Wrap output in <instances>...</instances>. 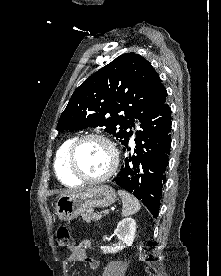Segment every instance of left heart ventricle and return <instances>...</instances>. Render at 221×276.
<instances>
[{"label":"left heart ventricle","instance_id":"b2bd125f","mask_svg":"<svg viewBox=\"0 0 221 276\" xmlns=\"http://www.w3.org/2000/svg\"><path fill=\"white\" fill-rule=\"evenodd\" d=\"M111 163V151L100 140H87L77 149L76 164L79 170L88 177H98L104 174Z\"/></svg>","mask_w":221,"mask_h":276}]
</instances>
